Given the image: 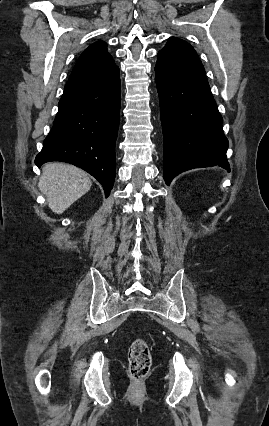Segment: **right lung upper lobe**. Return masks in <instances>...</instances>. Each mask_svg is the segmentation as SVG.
Masks as SVG:
<instances>
[{"label":"right lung upper lobe","instance_id":"1","mask_svg":"<svg viewBox=\"0 0 269 426\" xmlns=\"http://www.w3.org/2000/svg\"><path fill=\"white\" fill-rule=\"evenodd\" d=\"M115 66L112 56L107 51V44L103 41H98L90 45L80 55L69 79L102 74Z\"/></svg>","mask_w":269,"mask_h":426}]
</instances>
